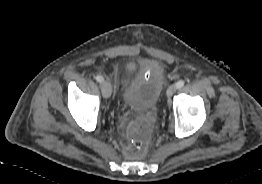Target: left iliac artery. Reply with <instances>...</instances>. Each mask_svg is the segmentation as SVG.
Listing matches in <instances>:
<instances>
[{"label": "left iliac artery", "mask_w": 262, "mask_h": 184, "mask_svg": "<svg viewBox=\"0 0 262 184\" xmlns=\"http://www.w3.org/2000/svg\"><path fill=\"white\" fill-rule=\"evenodd\" d=\"M185 82L183 80H179L176 82L177 89H180L184 86Z\"/></svg>", "instance_id": "obj_1"}]
</instances>
